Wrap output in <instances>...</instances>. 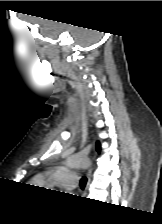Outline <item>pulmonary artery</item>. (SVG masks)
Segmentation results:
<instances>
[{"mask_svg": "<svg viewBox=\"0 0 162 224\" xmlns=\"http://www.w3.org/2000/svg\"><path fill=\"white\" fill-rule=\"evenodd\" d=\"M53 176L58 178V182H57L58 185L67 187L69 189L75 188L77 186L78 178H77L76 174L71 170L62 169L55 175L49 174L48 178H52Z\"/></svg>", "mask_w": 162, "mask_h": 224, "instance_id": "pulmonary-artery-1", "label": "pulmonary artery"}]
</instances>
